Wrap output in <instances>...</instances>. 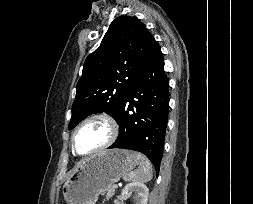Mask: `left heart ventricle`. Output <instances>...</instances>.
<instances>
[{"label": "left heart ventricle", "mask_w": 253, "mask_h": 204, "mask_svg": "<svg viewBox=\"0 0 253 204\" xmlns=\"http://www.w3.org/2000/svg\"><path fill=\"white\" fill-rule=\"evenodd\" d=\"M110 136V128L102 120H93L81 127L76 135V149L89 152L104 144Z\"/></svg>", "instance_id": "1"}]
</instances>
